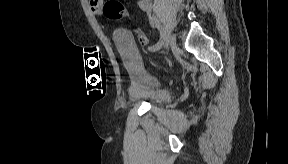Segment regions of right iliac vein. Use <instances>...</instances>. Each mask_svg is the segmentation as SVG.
Wrapping results in <instances>:
<instances>
[{
    "mask_svg": "<svg viewBox=\"0 0 288 164\" xmlns=\"http://www.w3.org/2000/svg\"><path fill=\"white\" fill-rule=\"evenodd\" d=\"M160 29L162 32V42H163L162 45H163V47H167L171 41L170 34L161 25H160Z\"/></svg>",
    "mask_w": 288,
    "mask_h": 164,
    "instance_id": "obj_1",
    "label": "right iliac vein"
}]
</instances>
